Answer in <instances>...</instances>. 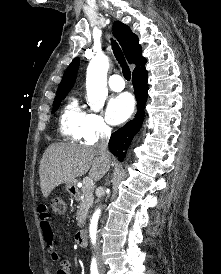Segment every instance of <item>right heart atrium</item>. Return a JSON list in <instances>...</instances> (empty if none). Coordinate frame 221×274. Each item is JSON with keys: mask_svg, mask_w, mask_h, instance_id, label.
Here are the masks:
<instances>
[{"mask_svg": "<svg viewBox=\"0 0 221 274\" xmlns=\"http://www.w3.org/2000/svg\"><path fill=\"white\" fill-rule=\"evenodd\" d=\"M110 133L111 128L102 115L93 112L87 113L83 125V139L87 143H95Z\"/></svg>", "mask_w": 221, "mask_h": 274, "instance_id": "obj_1", "label": "right heart atrium"}]
</instances>
